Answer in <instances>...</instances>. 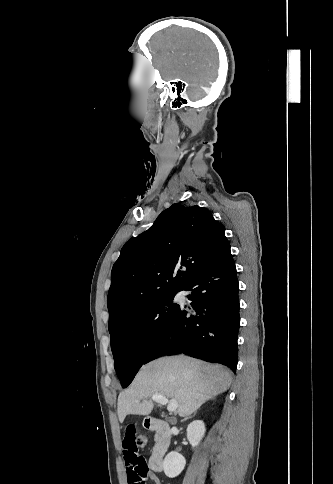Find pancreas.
I'll use <instances>...</instances> for the list:
<instances>
[{
	"instance_id": "1",
	"label": "pancreas",
	"mask_w": 333,
	"mask_h": 484,
	"mask_svg": "<svg viewBox=\"0 0 333 484\" xmlns=\"http://www.w3.org/2000/svg\"><path fill=\"white\" fill-rule=\"evenodd\" d=\"M157 438H158V435L156 434V435H155V440H157Z\"/></svg>"
}]
</instances>
